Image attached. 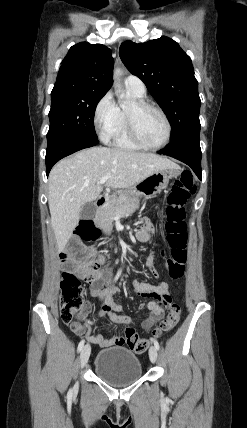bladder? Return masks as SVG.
I'll return each instance as SVG.
<instances>
[{
	"instance_id": "obj_1",
	"label": "bladder",
	"mask_w": 247,
	"mask_h": 428,
	"mask_svg": "<svg viewBox=\"0 0 247 428\" xmlns=\"http://www.w3.org/2000/svg\"><path fill=\"white\" fill-rule=\"evenodd\" d=\"M95 374L114 386L136 382L142 376V364L137 354L122 346L102 349L94 361Z\"/></svg>"
}]
</instances>
